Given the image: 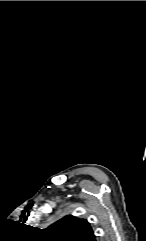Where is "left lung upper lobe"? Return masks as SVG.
Segmentation results:
<instances>
[{
  "mask_svg": "<svg viewBox=\"0 0 146 241\" xmlns=\"http://www.w3.org/2000/svg\"><path fill=\"white\" fill-rule=\"evenodd\" d=\"M49 241H93L94 232L87 220L68 215L44 230Z\"/></svg>",
  "mask_w": 146,
  "mask_h": 241,
  "instance_id": "5c2ea615",
  "label": "left lung upper lobe"
}]
</instances>
